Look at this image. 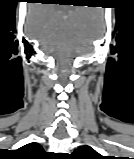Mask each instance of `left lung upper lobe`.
Segmentation results:
<instances>
[{
    "mask_svg": "<svg viewBox=\"0 0 134 159\" xmlns=\"http://www.w3.org/2000/svg\"><path fill=\"white\" fill-rule=\"evenodd\" d=\"M70 159H106L89 146H81L76 149Z\"/></svg>",
    "mask_w": 134,
    "mask_h": 159,
    "instance_id": "5c2ea615",
    "label": "left lung upper lobe"
}]
</instances>
